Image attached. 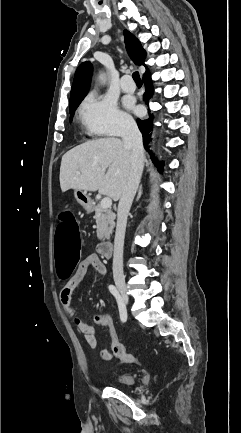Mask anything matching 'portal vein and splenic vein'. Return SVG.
Returning <instances> with one entry per match:
<instances>
[{"label":"portal vein and splenic vein","instance_id":"1","mask_svg":"<svg viewBox=\"0 0 241 433\" xmlns=\"http://www.w3.org/2000/svg\"><path fill=\"white\" fill-rule=\"evenodd\" d=\"M100 205H101L102 208H110L111 205H112V200H111V198H109V197H105V198H103V199L101 200Z\"/></svg>","mask_w":241,"mask_h":433}]
</instances>
